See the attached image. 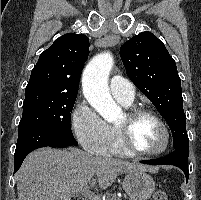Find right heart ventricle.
<instances>
[{
	"instance_id": "right-heart-ventricle-1",
	"label": "right heart ventricle",
	"mask_w": 201,
	"mask_h": 200,
	"mask_svg": "<svg viewBox=\"0 0 201 200\" xmlns=\"http://www.w3.org/2000/svg\"><path fill=\"white\" fill-rule=\"evenodd\" d=\"M122 105L126 107H132L133 102H125L122 100H118ZM110 128V140H109V145L106 153H110L113 155H118V156H128L130 155L128 152L124 150V148L121 145L120 138H119V133L117 131L116 126H109Z\"/></svg>"
}]
</instances>
